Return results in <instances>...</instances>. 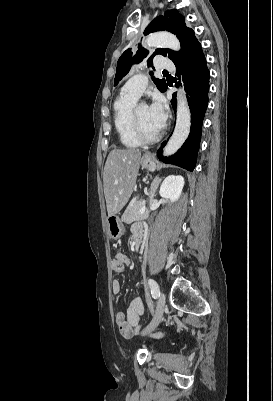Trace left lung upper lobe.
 <instances>
[{
  "label": "left lung upper lobe",
  "mask_w": 273,
  "mask_h": 401,
  "mask_svg": "<svg viewBox=\"0 0 273 401\" xmlns=\"http://www.w3.org/2000/svg\"><path fill=\"white\" fill-rule=\"evenodd\" d=\"M160 30H166L175 34L181 42V50L175 52L170 49H156L147 60L148 66H152V59L157 54L167 56L174 61L182 52L198 41L195 37L194 31L191 28L186 27L184 16L179 14L177 10H168L164 15L156 17L145 29L144 35ZM131 55L132 52L128 49L119 58L114 85H117L118 82L129 72L133 63H140L148 55V52L146 49L139 46L136 55L133 58ZM150 74L153 75L152 72H150ZM153 81L161 92L166 90L167 83L164 79H153Z\"/></svg>",
  "instance_id": "obj_1"
}]
</instances>
